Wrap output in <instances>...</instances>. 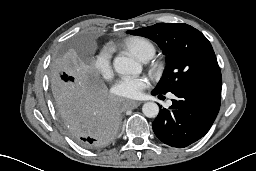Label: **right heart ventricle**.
<instances>
[{"mask_svg":"<svg viewBox=\"0 0 256 171\" xmlns=\"http://www.w3.org/2000/svg\"><path fill=\"white\" fill-rule=\"evenodd\" d=\"M124 48L142 61L149 60L155 54L154 44L144 37H132L127 39Z\"/></svg>","mask_w":256,"mask_h":171,"instance_id":"obj_1","label":"right heart ventricle"}]
</instances>
